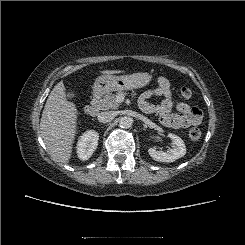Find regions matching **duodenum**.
<instances>
[{
  "label": "duodenum",
  "instance_id": "1",
  "mask_svg": "<svg viewBox=\"0 0 245 245\" xmlns=\"http://www.w3.org/2000/svg\"><path fill=\"white\" fill-rule=\"evenodd\" d=\"M100 93L94 92L91 97V102L84 108V114L87 116H96L99 111Z\"/></svg>",
  "mask_w": 245,
  "mask_h": 245
}]
</instances>
